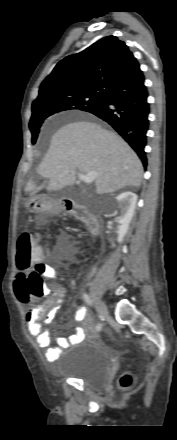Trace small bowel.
<instances>
[{"mask_svg": "<svg viewBox=\"0 0 177 440\" xmlns=\"http://www.w3.org/2000/svg\"><path fill=\"white\" fill-rule=\"evenodd\" d=\"M47 271L46 276L51 278L59 277L58 265L54 263L46 264ZM15 294L18 299L22 300L23 290L20 287V282L15 284ZM64 296V289L56 285L51 289L50 297L40 306L30 309L25 316L26 325L31 335L36 338L37 345L40 348L46 349L45 357L48 361L53 362L60 358L64 349L76 345L84 339L85 329L84 327H77L75 333L69 337H58L56 339V346L50 347V334L47 330L43 329L40 323V318L43 317L44 323L48 324L52 322L57 311L59 310L62 299ZM86 318V310L83 307H79L75 314L74 320L76 322L84 321ZM88 324V323H87ZM91 332V328H88Z\"/></svg>", "mask_w": 177, "mask_h": 440, "instance_id": "c3829d8e", "label": "small bowel"}]
</instances>
